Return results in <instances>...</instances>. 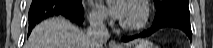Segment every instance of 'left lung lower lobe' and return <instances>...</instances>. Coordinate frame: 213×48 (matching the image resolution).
I'll list each match as a JSON object with an SVG mask.
<instances>
[{"label":"left lung lower lobe","instance_id":"1","mask_svg":"<svg viewBox=\"0 0 213 48\" xmlns=\"http://www.w3.org/2000/svg\"><path fill=\"white\" fill-rule=\"evenodd\" d=\"M165 27H174L179 28L184 31L190 40L192 39V31L190 26L189 20V13H185L182 11L177 10H167L160 15H156L153 26L139 35L131 36V37H124L121 40L124 42H128L138 37H147L154 33L155 31L165 28Z\"/></svg>","mask_w":213,"mask_h":48}]
</instances>
